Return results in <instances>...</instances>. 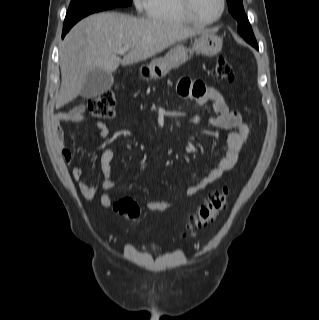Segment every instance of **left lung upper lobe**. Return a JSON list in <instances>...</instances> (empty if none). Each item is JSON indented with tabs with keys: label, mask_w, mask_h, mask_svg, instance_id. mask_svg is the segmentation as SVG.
<instances>
[{
	"label": "left lung upper lobe",
	"mask_w": 319,
	"mask_h": 320,
	"mask_svg": "<svg viewBox=\"0 0 319 320\" xmlns=\"http://www.w3.org/2000/svg\"><path fill=\"white\" fill-rule=\"evenodd\" d=\"M227 3L229 11L238 21L239 34L252 46H257L249 20L244 12L242 0H227Z\"/></svg>",
	"instance_id": "obj_1"
}]
</instances>
